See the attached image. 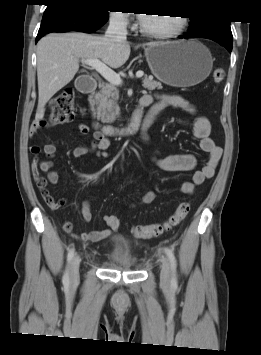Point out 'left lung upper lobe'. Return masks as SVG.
Here are the masks:
<instances>
[{
	"mask_svg": "<svg viewBox=\"0 0 261 355\" xmlns=\"http://www.w3.org/2000/svg\"><path fill=\"white\" fill-rule=\"evenodd\" d=\"M190 23L191 25L188 30V33L192 35L202 33L208 29H215V28L230 29V21L220 20V19L190 18Z\"/></svg>",
	"mask_w": 261,
	"mask_h": 355,
	"instance_id": "obj_1",
	"label": "left lung upper lobe"
}]
</instances>
